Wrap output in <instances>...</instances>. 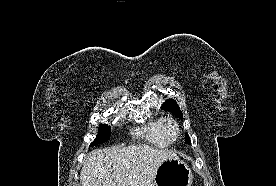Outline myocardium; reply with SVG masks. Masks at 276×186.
Masks as SVG:
<instances>
[{
  "label": "myocardium",
  "instance_id": "myocardium-1",
  "mask_svg": "<svg viewBox=\"0 0 276 186\" xmlns=\"http://www.w3.org/2000/svg\"><path fill=\"white\" fill-rule=\"evenodd\" d=\"M170 129H174V136L170 135ZM180 132V127L173 118L167 117L162 120V134L168 142H175L179 138Z\"/></svg>",
  "mask_w": 276,
  "mask_h": 186
}]
</instances>
